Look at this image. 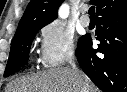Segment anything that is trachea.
Listing matches in <instances>:
<instances>
[{
    "mask_svg": "<svg viewBox=\"0 0 127 92\" xmlns=\"http://www.w3.org/2000/svg\"><path fill=\"white\" fill-rule=\"evenodd\" d=\"M89 15L90 17H95V7L94 6L89 8Z\"/></svg>",
    "mask_w": 127,
    "mask_h": 92,
    "instance_id": "3493384b",
    "label": "trachea"
}]
</instances>
